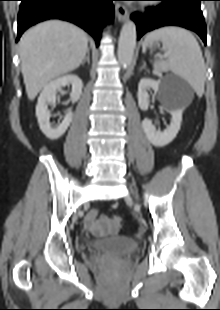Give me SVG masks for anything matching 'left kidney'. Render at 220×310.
I'll return each mask as SVG.
<instances>
[{
    "label": "left kidney",
    "instance_id": "obj_1",
    "mask_svg": "<svg viewBox=\"0 0 220 310\" xmlns=\"http://www.w3.org/2000/svg\"><path fill=\"white\" fill-rule=\"evenodd\" d=\"M153 89L161 97H168V89L161 83L152 79L143 78L138 85V105L141 110L146 111L149 107V94L148 90ZM167 111L171 114L172 119L170 125L163 131H157L151 120L145 118L142 122L143 130L150 141L156 147H163L172 142L180 130L182 121L183 106L175 107L173 103L166 104Z\"/></svg>",
    "mask_w": 220,
    "mask_h": 310
}]
</instances>
